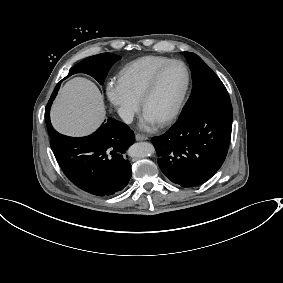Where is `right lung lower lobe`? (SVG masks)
<instances>
[{
	"label": "right lung lower lobe",
	"instance_id": "1",
	"mask_svg": "<svg viewBox=\"0 0 283 283\" xmlns=\"http://www.w3.org/2000/svg\"><path fill=\"white\" fill-rule=\"evenodd\" d=\"M63 80L45 108L50 145L59 166L77 187L93 195L108 196L121 191L132 175L131 164L124 155L135 142L133 131L113 118L87 137L73 138L55 131L50 122V108Z\"/></svg>",
	"mask_w": 283,
	"mask_h": 283
}]
</instances>
